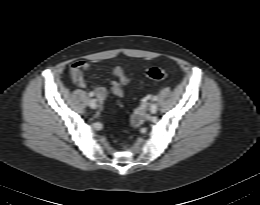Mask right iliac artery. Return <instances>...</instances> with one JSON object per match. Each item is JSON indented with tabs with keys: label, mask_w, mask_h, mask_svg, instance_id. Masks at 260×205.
Instances as JSON below:
<instances>
[{
	"label": "right iliac artery",
	"mask_w": 260,
	"mask_h": 205,
	"mask_svg": "<svg viewBox=\"0 0 260 205\" xmlns=\"http://www.w3.org/2000/svg\"><path fill=\"white\" fill-rule=\"evenodd\" d=\"M89 96H90V97L94 96L93 92H90V93H89Z\"/></svg>",
	"instance_id": "right-iliac-artery-1"
}]
</instances>
